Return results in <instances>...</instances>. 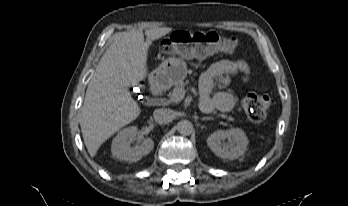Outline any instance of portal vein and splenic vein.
<instances>
[{"label": "portal vein and splenic vein", "instance_id": "portal-vein-and-splenic-vein-1", "mask_svg": "<svg viewBox=\"0 0 348 206\" xmlns=\"http://www.w3.org/2000/svg\"><path fill=\"white\" fill-rule=\"evenodd\" d=\"M186 91H180V92H175L171 95L170 101L174 103L180 102L184 96H185Z\"/></svg>", "mask_w": 348, "mask_h": 206}]
</instances>
